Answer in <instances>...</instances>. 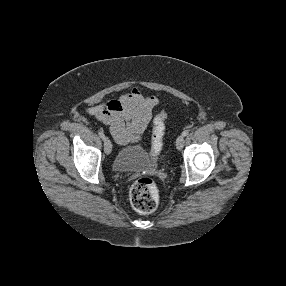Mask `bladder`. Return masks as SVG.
I'll list each match as a JSON object with an SVG mask.
<instances>
[{"label":"bladder","mask_w":286,"mask_h":286,"mask_svg":"<svg viewBox=\"0 0 286 286\" xmlns=\"http://www.w3.org/2000/svg\"><path fill=\"white\" fill-rule=\"evenodd\" d=\"M155 165L146 157V148L142 143L121 147L112 161V168L117 173H127Z\"/></svg>","instance_id":"1"}]
</instances>
